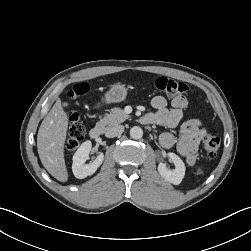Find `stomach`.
<instances>
[{
	"mask_svg": "<svg viewBox=\"0 0 251 251\" xmlns=\"http://www.w3.org/2000/svg\"><path fill=\"white\" fill-rule=\"evenodd\" d=\"M127 88L121 83H115L110 86L109 90L104 95V103L112 104L119 103L126 99Z\"/></svg>",
	"mask_w": 251,
	"mask_h": 251,
	"instance_id": "1",
	"label": "stomach"
}]
</instances>
